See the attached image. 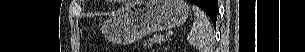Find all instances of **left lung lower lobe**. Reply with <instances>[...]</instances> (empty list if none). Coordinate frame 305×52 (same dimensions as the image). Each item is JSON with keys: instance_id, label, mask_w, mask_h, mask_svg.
<instances>
[{"instance_id": "left-lung-lower-lobe-1", "label": "left lung lower lobe", "mask_w": 305, "mask_h": 52, "mask_svg": "<svg viewBox=\"0 0 305 52\" xmlns=\"http://www.w3.org/2000/svg\"><path fill=\"white\" fill-rule=\"evenodd\" d=\"M199 7H201L207 14L211 11L217 13L218 0H190ZM214 27H216V21L212 20Z\"/></svg>"}]
</instances>
